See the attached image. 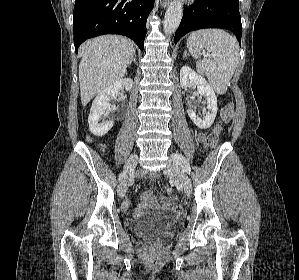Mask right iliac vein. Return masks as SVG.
<instances>
[{"label":"right iliac vein","mask_w":299,"mask_h":280,"mask_svg":"<svg viewBox=\"0 0 299 280\" xmlns=\"http://www.w3.org/2000/svg\"><path fill=\"white\" fill-rule=\"evenodd\" d=\"M137 162H138V155L137 154L131 155L124 165L123 172L128 174L131 171H133L137 165ZM126 189H127V182L126 179H123L118 185V189H117L118 195L120 197H124L126 194Z\"/></svg>","instance_id":"obj_1"}]
</instances>
